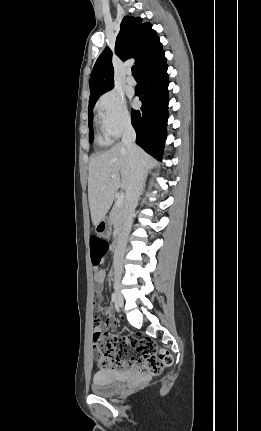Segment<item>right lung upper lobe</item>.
<instances>
[{"label":"right lung upper lobe","mask_w":261,"mask_h":431,"mask_svg":"<svg viewBox=\"0 0 261 431\" xmlns=\"http://www.w3.org/2000/svg\"><path fill=\"white\" fill-rule=\"evenodd\" d=\"M162 44L150 23L139 17L125 16L116 38L115 52L122 59L135 58L140 69L162 51ZM114 84L112 52L106 47L94 64L90 76V98L110 90Z\"/></svg>","instance_id":"right-lung-upper-lobe-1"}]
</instances>
